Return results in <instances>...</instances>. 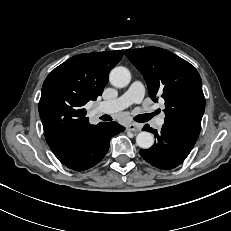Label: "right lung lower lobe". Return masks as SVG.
I'll list each match as a JSON object with an SVG mask.
<instances>
[{
  "label": "right lung lower lobe",
  "mask_w": 231,
  "mask_h": 231,
  "mask_svg": "<svg viewBox=\"0 0 231 231\" xmlns=\"http://www.w3.org/2000/svg\"><path fill=\"white\" fill-rule=\"evenodd\" d=\"M116 122H101L78 135L57 158L75 171L87 170L102 160L112 136L124 131Z\"/></svg>",
  "instance_id": "obj_1"
}]
</instances>
